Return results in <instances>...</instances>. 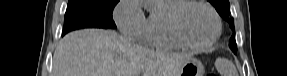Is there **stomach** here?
Listing matches in <instances>:
<instances>
[{
    "mask_svg": "<svg viewBox=\"0 0 287 76\" xmlns=\"http://www.w3.org/2000/svg\"><path fill=\"white\" fill-rule=\"evenodd\" d=\"M204 75V66L196 58L190 57L186 60L184 65L181 68V71L178 76H203Z\"/></svg>",
    "mask_w": 287,
    "mask_h": 76,
    "instance_id": "stomach-1",
    "label": "stomach"
}]
</instances>
